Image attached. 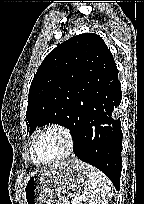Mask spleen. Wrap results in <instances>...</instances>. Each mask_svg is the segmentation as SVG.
<instances>
[{"label":"spleen","instance_id":"1","mask_svg":"<svg viewBox=\"0 0 144 204\" xmlns=\"http://www.w3.org/2000/svg\"><path fill=\"white\" fill-rule=\"evenodd\" d=\"M88 187L85 190L89 204H107L113 195V185L99 169L88 165Z\"/></svg>","mask_w":144,"mask_h":204}]
</instances>
